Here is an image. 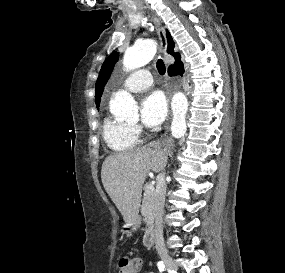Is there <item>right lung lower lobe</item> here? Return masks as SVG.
I'll return each instance as SVG.
<instances>
[{"label": "right lung lower lobe", "mask_w": 285, "mask_h": 273, "mask_svg": "<svg viewBox=\"0 0 285 273\" xmlns=\"http://www.w3.org/2000/svg\"><path fill=\"white\" fill-rule=\"evenodd\" d=\"M184 73V68H183V63L181 62V60H177L175 61V64L174 65H171L169 68H168V74L169 76H173V75H183Z\"/></svg>", "instance_id": "98d812e1"}]
</instances>
